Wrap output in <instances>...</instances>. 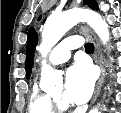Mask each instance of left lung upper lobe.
<instances>
[{
    "instance_id": "left-lung-upper-lobe-1",
    "label": "left lung upper lobe",
    "mask_w": 121,
    "mask_h": 113,
    "mask_svg": "<svg viewBox=\"0 0 121 113\" xmlns=\"http://www.w3.org/2000/svg\"><path fill=\"white\" fill-rule=\"evenodd\" d=\"M84 5L89 6L92 9H98L95 0H83ZM38 42V36L33 27L29 29L28 39H27V50H26V76L29 77L32 70L33 59H34V49Z\"/></svg>"
}]
</instances>
